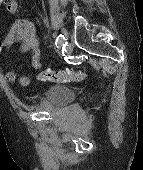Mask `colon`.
I'll return each instance as SVG.
<instances>
[{
  "instance_id": "1",
  "label": "colon",
  "mask_w": 143,
  "mask_h": 170,
  "mask_svg": "<svg viewBox=\"0 0 143 170\" xmlns=\"http://www.w3.org/2000/svg\"><path fill=\"white\" fill-rule=\"evenodd\" d=\"M7 0H0V5L5 4ZM39 81H49L55 83L81 82L86 78L84 69H66L62 71L45 70L38 74ZM27 79H23L21 84L27 85Z\"/></svg>"
}]
</instances>
